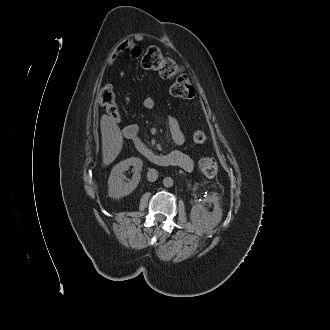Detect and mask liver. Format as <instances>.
<instances>
[{
  "label": "liver",
  "mask_w": 330,
  "mask_h": 330,
  "mask_svg": "<svg viewBox=\"0 0 330 330\" xmlns=\"http://www.w3.org/2000/svg\"><path fill=\"white\" fill-rule=\"evenodd\" d=\"M100 127L102 134L103 165L107 166L119 155L123 145V137L119 126L107 115L102 116Z\"/></svg>",
  "instance_id": "6515ba94"
}]
</instances>
